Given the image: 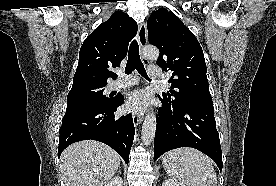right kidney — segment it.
Returning <instances> with one entry per match:
<instances>
[{
    "mask_svg": "<svg viewBox=\"0 0 276 186\" xmlns=\"http://www.w3.org/2000/svg\"><path fill=\"white\" fill-rule=\"evenodd\" d=\"M123 184V180L121 177L116 176L114 178H112L107 184H105L104 186H122Z\"/></svg>",
    "mask_w": 276,
    "mask_h": 186,
    "instance_id": "ca27d5eb",
    "label": "right kidney"
}]
</instances>
